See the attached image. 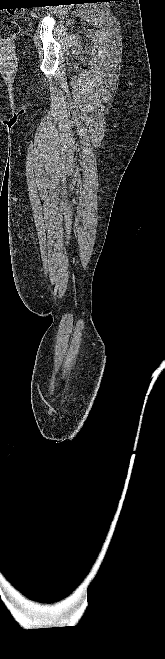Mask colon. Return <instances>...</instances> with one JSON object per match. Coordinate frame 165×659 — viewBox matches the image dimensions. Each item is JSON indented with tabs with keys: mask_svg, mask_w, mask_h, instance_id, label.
<instances>
[{
	"mask_svg": "<svg viewBox=\"0 0 165 659\" xmlns=\"http://www.w3.org/2000/svg\"><path fill=\"white\" fill-rule=\"evenodd\" d=\"M18 33L17 23L7 19L0 20V42L8 44L15 39Z\"/></svg>",
	"mask_w": 165,
	"mask_h": 659,
	"instance_id": "1",
	"label": "colon"
}]
</instances>
